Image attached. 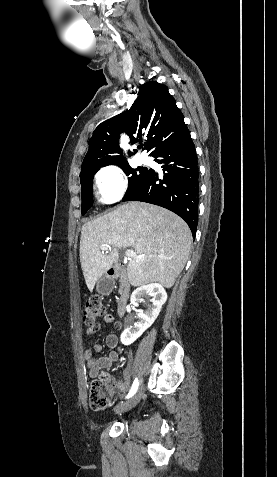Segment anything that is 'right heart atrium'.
<instances>
[{"label":"right heart atrium","mask_w":277,"mask_h":477,"mask_svg":"<svg viewBox=\"0 0 277 477\" xmlns=\"http://www.w3.org/2000/svg\"><path fill=\"white\" fill-rule=\"evenodd\" d=\"M95 184L104 203L119 201L127 190V177L123 170L116 165H106L95 175Z\"/></svg>","instance_id":"d8ad5b80"}]
</instances>
